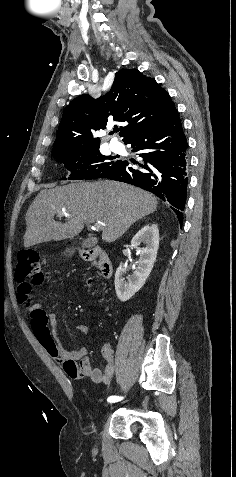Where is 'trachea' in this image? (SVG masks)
Returning a JSON list of instances; mask_svg holds the SVG:
<instances>
[{"mask_svg":"<svg viewBox=\"0 0 236 477\" xmlns=\"http://www.w3.org/2000/svg\"><path fill=\"white\" fill-rule=\"evenodd\" d=\"M118 131H119L118 128H114L113 133H114V132H118Z\"/></svg>","mask_w":236,"mask_h":477,"instance_id":"obj_1","label":"trachea"}]
</instances>
